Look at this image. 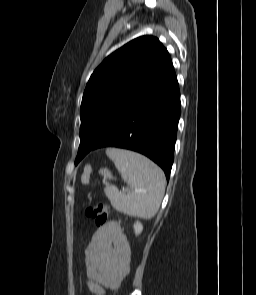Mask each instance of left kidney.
<instances>
[{
    "label": "left kidney",
    "instance_id": "5707ae66",
    "mask_svg": "<svg viewBox=\"0 0 256 295\" xmlns=\"http://www.w3.org/2000/svg\"><path fill=\"white\" fill-rule=\"evenodd\" d=\"M143 230V225L141 222L137 221L134 223V231L136 235H139Z\"/></svg>",
    "mask_w": 256,
    "mask_h": 295
}]
</instances>
